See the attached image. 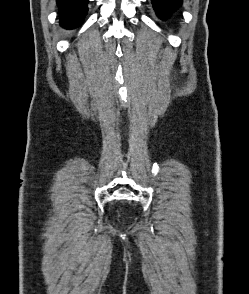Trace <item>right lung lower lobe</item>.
<instances>
[{
	"instance_id": "obj_1",
	"label": "right lung lower lobe",
	"mask_w": 249,
	"mask_h": 294,
	"mask_svg": "<svg viewBox=\"0 0 249 294\" xmlns=\"http://www.w3.org/2000/svg\"><path fill=\"white\" fill-rule=\"evenodd\" d=\"M87 3L88 0H57L61 26L67 29L78 27L87 13Z\"/></svg>"
}]
</instances>
